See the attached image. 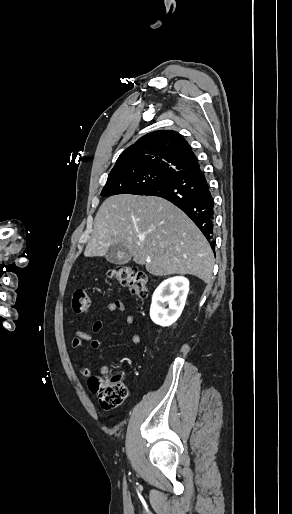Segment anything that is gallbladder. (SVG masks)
<instances>
[{
	"mask_svg": "<svg viewBox=\"0 0 292 514\" xmlns=\"http://www.w3.org/2000/svg\"><path fill=\"white\" fill-rule=\"evenodd\" d=\"M105 260L107 262H111V264H127L130 260V254H128L127 250H125L124 246L121 244H112L109 246L106 254Z\"/></svg>",
	"mask_w": 292,
	"mask_h": 514,
	"instance_id": "bac80fb5",
	"label": "gallbladder"
}]
</instances>
